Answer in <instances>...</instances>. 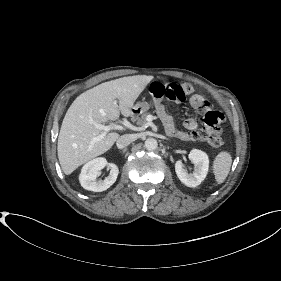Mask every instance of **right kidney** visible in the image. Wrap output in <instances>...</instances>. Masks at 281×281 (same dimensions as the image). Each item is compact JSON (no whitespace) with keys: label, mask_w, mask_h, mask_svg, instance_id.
<instances>
[{"label":"right kidney","mask_w":281,"mask_h":281,"mask_svg":"<svg viewBox=\"0 0 281 281\" xmlns=\"http://www.w3.org/2000/svg\"><path fill=\"white\" fill-rule=\"evenodd\" d=\"M108 166L110 168L109 175L104 180H98L97 177L100 175V171ZM119 169L116 164L108 163L103 157L95 158L87 162L81 170L79 175V181L81 186L89 191L102 192L107 190L113 185L117 179Z\"/></svg>","instance_id":"obj_1"}]
</instances>
